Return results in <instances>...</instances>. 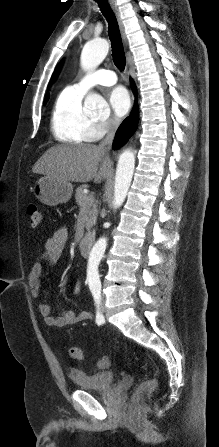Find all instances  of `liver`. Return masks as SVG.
I'll return each mask as SVG.
<instances>
[{"instance_id":"1","label":"liver","mask_w":219,"mask_h":447,"mask_svg":"<svg viewBox=\"0 0 219 447\" xmlns=\"http://www.w3.org/2000/svg\"><path fill=\"white\" fill-rule=\"evenodd\" d=\"M32 171L63 181L100 183L111 171V160L97 145H58L48 149Z\"/></svg>"}]
</instances>
